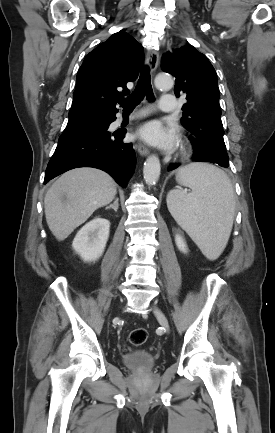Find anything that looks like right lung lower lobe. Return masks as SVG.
Returning a JSON list of instances; mask_svg holds the SVG:
<instances>
[{
	"instance_id": "obj_1",
	"label": "right lung lower lobe",
	"mask_w": 275,
	"mask_h": 433,
	"mask_svg": "<svg viewBox=\"0 0 275 433\" xmlns=\"http://www.w3.org/2000/svg\"><path fill=\"white\" fill-rule=\"evenodd\" d=\"M104 125H83L64 130L50 159L44 182L77 167H95L109 173L122 187H126L136 165L132 144L122 139L126 130L108 132L116 117L107 115Z\"/></svg>"
}]
</instances>
